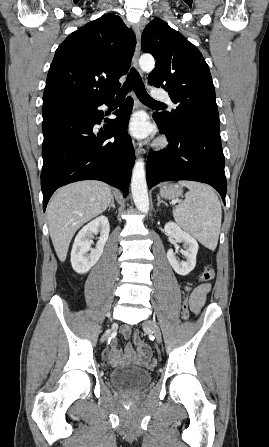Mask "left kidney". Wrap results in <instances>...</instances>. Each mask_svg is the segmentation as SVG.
Wrapping results in <instances>:
<instances>
[{"label": "left kidney", "instance_id": "obj_1", "mask_svg": "<svg viewBox=\"0 0 269 447\" xmlns=\"http://www.w3.org/2000/svg\"><path fill=\"white\" fill-rule=\"evenodd\" d=\"M164 229L167 235L175 237L176 241H182L184 249H181V253L185 255L186 261H179L173 249H168L167 257L176 273H179V275H187V273H190L196 265V255L199 245L192 235L183 231V229H181L179 225L174 224V222L165 224Z\"/></svg>", "mask_w": 269, "mask_h": 447}]
</instances>
